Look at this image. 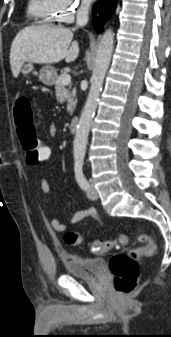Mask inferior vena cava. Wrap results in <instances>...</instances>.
Segmentation results:
<instances>
[{"label":"inferior vena cava","instance_id":"inferior-vena-cava-1","mask_svg":"<svg viewBox=\"0 0 171 337\" xmlns=\"http://www.w3.org/2000/svg\"><path fill=\"white\" fill-rule=\"evenodd\" d=\"M89 7L90 4L88 2H84L81 4L77 11L76 26H84L87 24Z\"/></svg>","mask_w":171,"mask_h":337}]
</instances>
